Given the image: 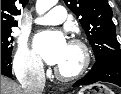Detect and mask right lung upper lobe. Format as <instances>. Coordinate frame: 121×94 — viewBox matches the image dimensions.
Returning <instances> with one entry per match:
<instances>
[{"label":"right lung upper lobe","mask_w":121,"mask_h":94,"mask_svg":"<svg viewBox=\"0 0 121 94\" xmlns=\"http://www.w3.org/2000/svg\"><path fill=\"white\" fill-rule=\"evenodd\" d=\"M28 0H1V30H11L17 26L13 16L20 15V9L25 7Z\"/></svg>","instance_id":"right-lung-upper-lobe-1"}]
</instances>
